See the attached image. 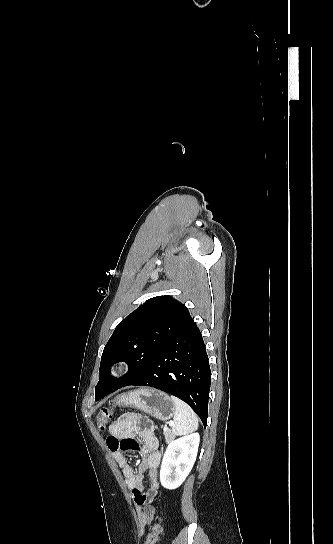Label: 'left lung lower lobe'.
Returning a JSON list of instances; mask_svg holds the SVG:
<instances>
[{
    "mask_svg": "<svg viewBox=\"0 0 333 544\" xmlns=\"http://www.w3.org/2000/svg\"><path fill=\"white\" fill-rule=\"evenodd\" d=\"M211 372L202 335L189 315L129 385L150 386L186 402L207 423ZM112 393V392H111ZM110 393H99L96 401Z\"/></svg>",
    "mask_w": 333,
    "mask_h": 544,
    "instance_id": "0a47b994",
    "label": "left lung lower lobe"
}]
</instances>
